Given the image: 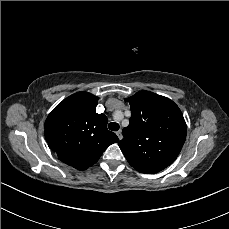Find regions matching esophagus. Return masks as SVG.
Wrapping results in <instances>:
<instances>
[{
  "label": "esophagus",
  "instance_id": "esophagus-1",
  "mask_svg": "<svg viewBox=\"0 0 229 229\" xmlns=\"http://www.w3.org/2000/svg\"><path fill=\"white\" fill-rule=\"evenodd\" d=\"M116 135L118 136V138H119L120 140H122L123 135H122V131H121V130H118V131L116 132Z\"/></svg>",
  "mask_w": 229,
  "mask_h": 229
}]
</instances>
